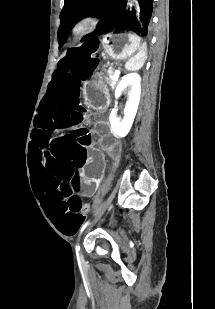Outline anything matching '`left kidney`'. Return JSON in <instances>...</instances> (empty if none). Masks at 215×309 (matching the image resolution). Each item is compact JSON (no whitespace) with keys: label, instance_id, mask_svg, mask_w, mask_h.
<instances>
[{"label":"left kidney","instance_id":"5707ae66","mask_svg":"<svg viewBox=\"0 0 215 309\" xmlns=\"http://www.w3.org/2000/svg\"><path fill=\"white\" fill-rule=\"evenodd\" d=\"M127 86H131V90H128L129 96L124 108V118H119V116H117L116 108H112L109 116L112 132L113 134H117V136H126L133 124L141 92L139 74H136V72H130V74L122 76V80H120L115 90V96H120ZM135 88L137 94H135Z\"/></svg>","mask_w":215,"mask_h":309}]
</instances>
